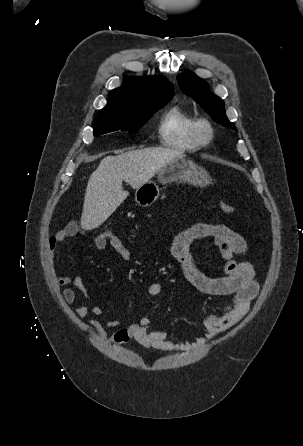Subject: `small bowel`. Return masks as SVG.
Instances as JSON below:
<instances>
[{"label":"small bowel","instance_id":"1","mask_svg":"<svg viewBox=\"0 0 303 446\" xmlns=\"http://www.w3.org/2000/svg\"><path fill=\"white\" fill-rule=\"evenodd\" d=\"M83 232L78 222H71L48 238L47 251L53 268L60 260L61 245L76 234ZM206 239H212L215 242L225 261L223 276H208L196 264L191 248L195 242ZM93 242L98 250L110 247L122 260L133 261L131 251L115 235L105 238L102 233L96 234L93 236ZM170 250L183 275L195 288L208 295L227 296L230 298L229 302L220 313L209 314L203 319L206 335L194 342L177 343L172 341L167 332L151 330V319L148 316H143L139 321L124 327H119L120 323L117 320H109L107 325L116 328L110 338L113 344L122 345L134 339L154 350L191 352L202 348L225 330L234 327L248 313L251 302L258 292V283L255 280L253 265L250 262L236 259L247 252V243L241 235L222 224L198 223L173 233ZM56 282L61 287L69 285L75 287H67L63 290V297L67 303H77L78 292L86 300H90V294L80 275L70 276L66 273H59L56 274ZM162 291L163 284L161 282H153L147 288V294L151 297L160 295ZM75 313L79 318H84L89 314L101 316L103 310L97 305L79 304ZM88 324L100 335L104 333L98 322L91 320Z\"/></svg>","mask_w":303,"mask_h":446}]
</instances>
